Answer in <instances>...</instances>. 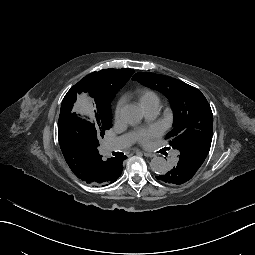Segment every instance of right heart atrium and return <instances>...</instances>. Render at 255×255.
Here are the masks:
<instances>
[{
	"mask_svg": "<svg viewBox=\"0 0 255 255\" xmlns=\"http://www.w3.org/2000/svg\"><path fill=\"white\" fill-rule=\"evenodd\" d=\"M125 104V101L124 99H120L116 105V108H115V118L116 119H119L120 118V115H121V112H122V109H123V106Z\"/></svg>",
	"mask_w": 255,
	"mask_h": 255,
	"instance_id": "right-heart-atrium-1",
	"label": "right heart atrium"
}]
</instances>
